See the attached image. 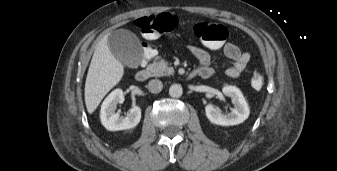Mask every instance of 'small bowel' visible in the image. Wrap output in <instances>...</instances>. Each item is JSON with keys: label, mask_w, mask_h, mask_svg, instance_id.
I'll use <instances>...</instances> for the list:
<instances>
[{"label": "small bowel", "mask_w": 337, "mask_h": 171, "mask_svg": "<svg viewBox=\"0 0 337 171\" xmlns=\"http://www.w3.org/2000/svg\"><path fill=\"white\" fill-rule=\"evenodd\" d=\"M221 49L224 55L233 61L232 66L226 69L225 74L230 78L239 77L250 61V54L241 51L237 45L230 42L226 43ZM189 52L200 63L199 69L209 71V76L204 79L210 78L213 75L214 70L211 67V56L209 52L206 49L195 45L189 47Z\"/></svg>", "instance_id": "1"}]
</instances>
